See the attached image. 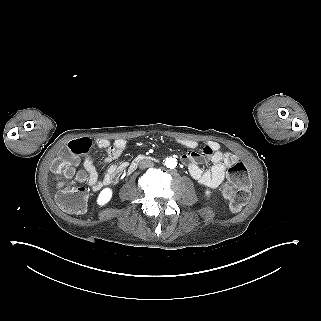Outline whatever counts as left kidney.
<instances>
[{
	"mask_svg": "<svg viewBox=\"0 0 321 321\" xmlns=\"http://www.w3.org/2000/svg\"><path fill=\"white\" fill-rule=\"evenodd\" d=\"M203 194H204V199L207 201L212 198V192L210 189H204Z\"/></svg>",
	"mask_w": 321,
	"mask_h": 321,
	"instance_id": "left-kidney-1",
	"label": "left kidney"
}]
</instances>
